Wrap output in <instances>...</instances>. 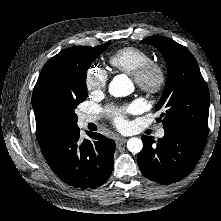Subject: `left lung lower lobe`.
<instances>
[{
	"instance_id": "obj_1",
	"label": "left lung lower lobe",
	"mask_w": 221,
	"mask_h": 221,
	"mask_svg": "<svg viewBox=\"0 0 221 221\" xmlns=\"http://www.w3.org/2000/svg\"><path fill=\"white\" fill-rule=\"evenodd\" d=\"M207 137L185 130H165L157 143L142 136L143 149L137 163L142 174L154 182L170 184L186 177L197 164Z\"/></svg>"
}]
</instances>
